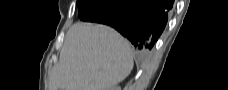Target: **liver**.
<instances>
[{"label":"liver","mask_w":228,"mask_h":90,"mask_svg":"<svg viewBox=\"0 0 228 90\" xmlns=\"http://www.w3.org/2000/svg\"><path fill=\"white\" fill-rule=\"evenodd\" d=\"M133 68L131 47L115 30L75 23L68 30L49 90H109Z\"/></svg>","instance_id":"6515ba94"}]
</instances>
